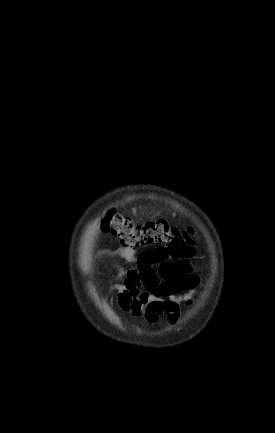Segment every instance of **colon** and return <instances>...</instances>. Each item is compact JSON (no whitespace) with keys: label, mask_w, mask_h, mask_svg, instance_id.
Instances as JSON below:
<instances>
[{"label":"colon","mask_w":275,"mask_h":433,"mask_svg":"<svg viewBox=\"0 0 275 433\" xmlns=\"http://www.w3.org/2000/svg\"><path fill=\"white\" fill-rule=\"evenodd\" d=\"M102 229L118 237L124 248L163 245L165 256L172 259L187 258L193 253L190 232L163 220L136 224L131 218L109 210L102 221Z\"/></svg>","instance_id":"colon-1"}]
</instances>
